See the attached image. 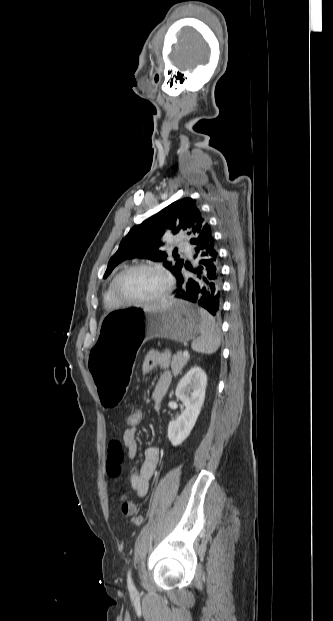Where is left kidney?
Instances as JSON below:
<instances>
[{"label": "left kidney", "mask_w": 333, "mask_h": 621, "mask_svg": "<svg viewBox=\"0 0 333 621\" xmlns=\"http://www.w3.org/2000/svg\"><path fill=\"white\" fill-rule=\"evenodd\" d=\"M207 375L195 366L180 380L175 395L185 410L168 425V438L173 446L180 445L191 433L205 400Z\"/></svg>", "instance_id": "1"}]
</instances>
